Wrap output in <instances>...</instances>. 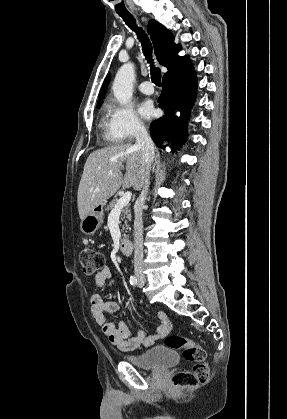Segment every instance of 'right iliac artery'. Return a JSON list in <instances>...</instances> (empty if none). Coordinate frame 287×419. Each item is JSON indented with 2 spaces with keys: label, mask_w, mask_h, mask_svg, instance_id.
Returning <instances> with one entry per match:
<instances>
[{
  "label": "right iliac artery",
  "mask_w": 287,
  "mask_h": 419,
  "mask_svg": "<svg viewBox=\"0 0 287 419\" xmlns=\"http://www.w3.org/2000/svg\"><path fill=\"white\" fill-rule=\"evenodd\" d=\"M137 283H138L137 278L135 276H131L130 277V284L133 285V286H136Z\"/></svg>",
  "instance_id": "obj_1"
}]
</instances>
